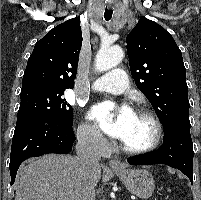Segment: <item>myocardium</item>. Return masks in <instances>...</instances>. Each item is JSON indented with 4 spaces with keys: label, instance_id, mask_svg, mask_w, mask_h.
Instances as JSON below:
<instances>
[{
    "label": "myocardium",
    "instance_id": "1",
    "mask_svg": "<svg viewBox=\"0 0 201 200\" xmlns=\"http://www.w3.org/2000/svg\"><path fill=\"white\" fill-rule=\"evenodd\" d=\"M135 114L144 116L152 122L154 129H155L154 138L148 145L139 147V148L129 147L121 141V143H120L121 149L128 154L149 153V152L155 150L162 141L163 133H164L162 122L153 111H151L147 108H144V107L137 108L135 110Z\"/></svg>",
    "mask_w": 201,
    "mask_h": 200
}]
</instances>
